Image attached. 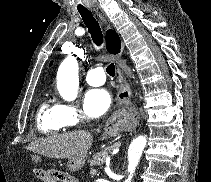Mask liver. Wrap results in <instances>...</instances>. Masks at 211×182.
Wrapping results in <instances>:
<instances>
[{"mask_svg": "<svg viewBox=\"0 0 211 182\" xmlns=\"http://www.w3.org/2000/svg\"><path fill=\"white\" fill-rule=\"evenodd\" d=\"M92 142L91 133L77 131L35 140L27 149L49 158L71 159L85 157Z\"/></svg>", "mask_w": 211, "mask_h": 182, "instance_id": "liver-1", "label": "liver"}]
</instances>
